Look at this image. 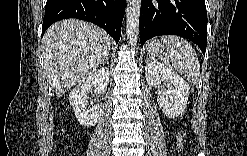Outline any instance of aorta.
<instances>
[{
  "label": "aorta",
  "mask_w": 247,
  "mask_h": 156,
  "mask_svg": "<svg viewBox=\"0 0 247 156\" xmlns=\"http://www.w3.org/2000/svg\"><path fill=\"white\" fill-rule=\"evenodd\" d=\"M141 0H128L126 8V35L132 45H136L139 34Z\"/></svg>",
  "instance_id": "obj_1"
}]
</instances>
